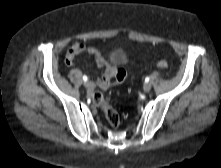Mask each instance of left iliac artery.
Wrapping results in <instances>:
<instances>
[{
  "mask_svg": "<svg viewBox=\"0 0 221 168\" xmlns=\"http://www.w3.org/2000/svg\"><path fill=\"white\" fill-rule=\"evenodd\" d=\"M150 78L149 77H146L145 78V82H149Z\"/></svg>",
  "mask_w": 221,
  "mask_h": 168,
  "instance_id": "obj_1",
  "label": "left iliac artery"
}]
</instances>
